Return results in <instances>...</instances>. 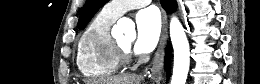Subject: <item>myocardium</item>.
<instances>
[{
    "instance_id": "myocardium-1",
    "label": "myocardium",
    "mask_w": 260,
    "mask_h": 84,
    "mask_svg": "<svg viewBox=\"0 0 260 84\" xmlns=\"http://www.w3.org/2000/svg\"><path fill=\"white\" fill-rule=\"evenodd\" d=\"M112 48L114 53L122 65L127 64L132 57L131 47L122 46L117 40H112Z\"/></svg>"
}]
</instances>
